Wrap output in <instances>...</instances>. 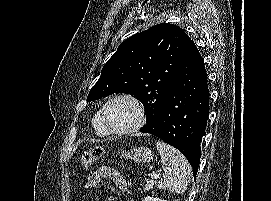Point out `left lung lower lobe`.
<instances>
[{"label":"left lung lower lobe","instance_id":"1","mask_svg":"<svg viewBox=\"0 0 271 201\" xmlns=\"http://www.w3.org/2000/svg\"><path fill=\"white\" fill-rule=\"evenodd\" d=\"M209 114V91L203 58L194 42L184 34L181 61L173 87L161 109L155 128L142 127L180 150L196 176L201 142Z\"/></svg>","mask_w":271,"mask_h":201}]
</instances>
